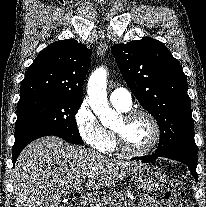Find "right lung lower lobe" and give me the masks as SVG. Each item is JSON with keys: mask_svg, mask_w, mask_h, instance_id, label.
Here are the masks:
<instances>
[{"mask_svg": "<svg viewBox=\"0 0 206 207\" xmlns=\"http://www.w3.org/2000/svg\"><path fill=\"white\" fill-rule=\"evenodd\" d=\"M24 147L16 149V150H13V154H12V156H13V164H15L17 157L19 156L20 152L23 150Z\"/></svg>", "mask_w": 206, "mask_h": 207, "instance_id": "right-lung-lower-lobe-1", "label": "right lung lower lobe"}]
</instances>
